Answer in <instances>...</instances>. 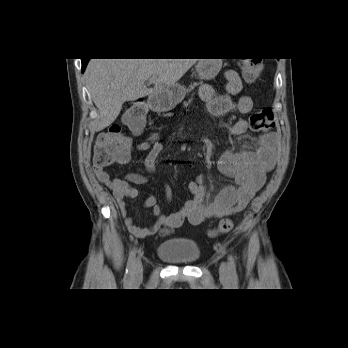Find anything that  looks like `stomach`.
<instances>
[{
  "mask_svg": "<svg viewBox=\"0 0 348 348\" xmlns=\"http://www.w3.org/2000/svg\"><path fill=\"white\" fill-rule=\"evenodd\" d=\"M222 67L221 59H199L195 66L200 79L211 80L216 77ZM185 97V89L180 84H175L161 92H158L151 101V107L164 112L173 109Z\"/></svg>",
  "mask_w": 348,
  "mask_h": 348,
  "instance_id": "stomach-1",
  "label": "stomach"
}]
</instances>
